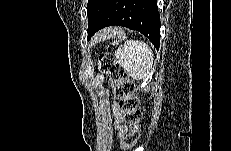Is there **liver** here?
<instances>
[{"label": "liver", "mask_w": 231, "mask_h": 151, "mask_svg": "<svg viewBox=\"0 0 231 151\" xmlns=\"http://www.w3.org/2000/svg\"><path fill=\"white\" fill-rule=\"evenodd\" d=\"M118 29L116 28H109L107 30H103L102 32L99 33V36L102 37V36H107L109 34H112V33H116Z\"/></svg>", "instance_id": "1"}]
</instances>
